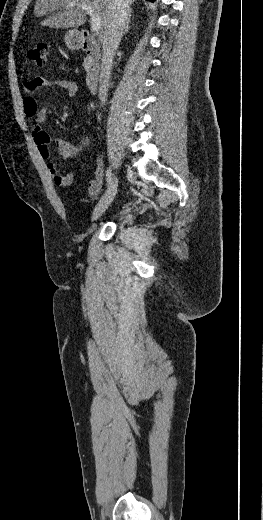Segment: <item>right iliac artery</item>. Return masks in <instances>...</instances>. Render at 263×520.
I'll use <instances>...</instances> for the list:
<instances>
[{
	"label": "right iliac artery",
	"instance_id": "82829eb1",
	"mask_svg": "<svg viewBox=\"0 0 263 520\" xmlns=\"http://www.w3.org/2000/svg\"><path fill=\"white\" fill-rule=\"evenodd\" d=\"M111 180H112V171L110 168H108L106 171V181H107V183H110Z\"/></svg>",
	"mask_w": 263,
	"mask_h": 520
}]
</instances>
